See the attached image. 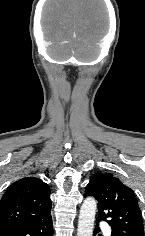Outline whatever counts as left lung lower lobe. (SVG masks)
Instances as JSON below:
<instances>
[{
    "mask_svg": "<svg viewBox=\"0 0 145 236\" xmlns=\"http://www.w3.org/2000/svg\"><path fill=\"white\" fill-rule=\"evenodd\" d=\"M99 231H100V229H99V227L97 226L96 229H95V231H94L93 236H96ZM99 236H100V235H99Z\"/></svg>",
    "mask_w": 145,
    "mask_h": 236,
    "instance_id": "1",
    "label": "left lung lower lobe"
}]
</instances>
